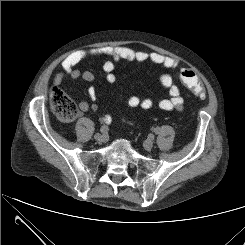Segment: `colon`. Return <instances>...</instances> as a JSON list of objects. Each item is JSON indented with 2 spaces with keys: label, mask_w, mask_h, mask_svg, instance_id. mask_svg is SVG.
Masks as SVG:
<instances>
[{
  "label": "colon",
  "mask_w": 245,
  "mask_h": 245,
  "mask_svg": "<svg viewBox=\"0 0 245 245\" xmlns=\"http://www.w3.org/2000/svg\"><path fill=\"white\" fill-rule=\"evenodd\" d=\"M182 83L198 97H205V89L198 74L188 68L179 71ZM50 106L52 111L63 121H72L78 114L77 104L62 90L53 88L50 92Z\"/></svg>",
  "instance_id": "1"
}]
</instances>
